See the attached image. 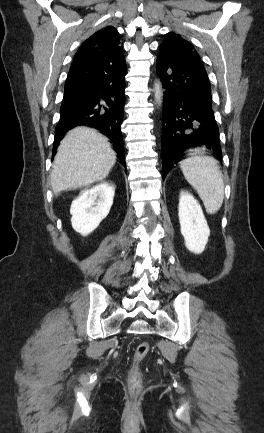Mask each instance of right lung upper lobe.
Segmentation results:
<instances>
[{
    "label": "right lung upper lobe",
    "mask_w": 264,
    "mask_h": 433,
    "mask_svg": "<svg viewBox=\"0 0 264 433\" xmlns=\"http://www.w3.org/2000/svg\"><path fill=\"white\" fill-rule=\"evenodd\" d=\"M118 34L112 26L97 31L81 45L73 62L104 60L109 63H120L124 61Z\"/></svg>",
    "instance_id": "obj_1"
}]
</instances>
